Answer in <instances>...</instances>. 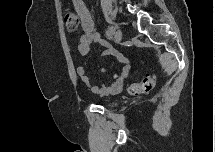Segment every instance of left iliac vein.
Listing matches in <instances>:
<instances>
[{"label":"left iliac vein","instance_id":"1","mask_svg":"<svg viewBox=\"0 0 215 152\" xmlns=\"http://www.w3.org/2000/svg\"><path fill=\"white\" fill-rule=\"evenodd\" d=\"M114 41L116 43H119L121 40H122V31L120 29H117L115 32H114Z\"/></svg>","mask_w":215,"mask_h":152}]
</instances>
